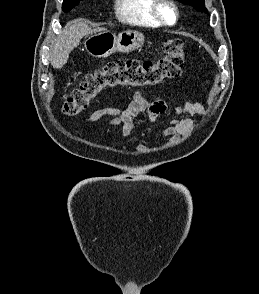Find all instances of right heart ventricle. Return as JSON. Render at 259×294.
Listing matches in <instances>:
<instances>
[{"instance_id":"right-heart-ventricle-1","label":"right heart ventricle","mask_w":259,"mask_h":294,"mask_svg":"<svg viewBox=\"0 0 259 294\" xmlns=\"http://www.w3.org/2000/svg\"><path fill=\"white\" fill-rule=\"evenodd\" d=\"M152 0H115L117 18L126 24L156 28L161 26L151 14Z\"/></svg>"}]
</instances>
